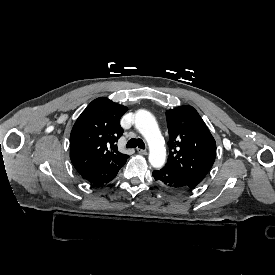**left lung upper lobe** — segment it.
<instances>
[{"instance_id": "left-lung-upper-lobe-1", "label": "left lung upper lobe", "mask_w": 275, "mask_h": 275, "mask_svg": "<svg viewBox=\"0 0 275 275\" xmlns=\"http://www.w3.org/2000/svg\"><path fill=\"white\" fill-rule=\"evenodd\" d=\"M166 119L170 153L165 167L192 189L211 169L216 142L198 112L189 105L167 110Z\"/></svg>"}]
</instances>
